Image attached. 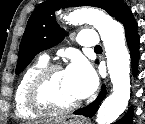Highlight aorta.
I'll return each instance as SVG.
<instances>
[{
  "label": "aorta",
  "mask_w": 145,
  "mask_h": 124,
  "mask_svg": "<svg viewBox=\"0 0 145 124\" xmlns=\"http://www.w3.org/2000/svg\"><path fill=\"white\" fill-rule=\"evenodd\" d=\"M67 21L73 25H93L104 43L113 91L100 106L96 122L111 124L125 111L130 99V56L125 45L124 28L108 14L97 9L75 10L67 16Z\"/></svg>",
  "instance_id": "1"
}]
</instances>
